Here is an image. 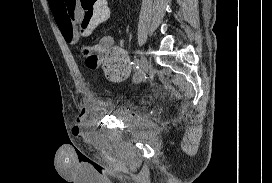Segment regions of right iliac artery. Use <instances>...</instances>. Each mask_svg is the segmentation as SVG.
<instances>
[{
	"instance_id": "82829eb1",
	"label": "right iliac artery",
	"mask_w": 272,
	"mask_h": 183,
	"mask_svg": "<svg viewBox=\"0 0 272 183\" xmlns=\"http://www.w3.org/2000/svg\"><path fill=\"white\" fill-rule=\"evenodd\" d=\"M140 60H138V59H134L133 60V62L131 63L132 65H133V67L134 68H139L140 67ZM140 69V71L139 70H137L134 74V76L137 78L138 76H140V74H141V68H139Z\"/></svg>"
}]
</instances>
